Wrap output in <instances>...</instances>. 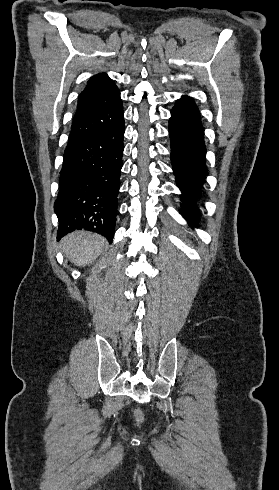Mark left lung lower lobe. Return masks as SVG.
<instances>
[{
    "mask_svg": "<svg viewBox=\"0 0 279 490\" xmlns=\"http://www.w3.org/2000/svg\"><path fill=\"white\" fill-rule=\"evenodd\" d=\"M169 133L171 163L181 195L180 213L189 223L197 226L198 207L207 169L204 129L194 101L181 98L171 110Z\"/></svg>",
    "mask_w": 279,
    "mask_h": 490,
    "instance_id": "obj_1",
    "label": "left lung lower lobe"
}]
</instances>
